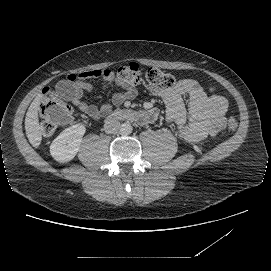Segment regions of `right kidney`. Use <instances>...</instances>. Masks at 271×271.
I'll return each mask as SVG.
<instances>
[{
	"instance_id": "1",
	"label": "right kidney",
	"mask_w": 271,
	"mask_h": 271,
	"mask_svg": "<svg viewBox=\"0 0 271 271\" xmlns=\"http://www.w3.org/2000/svg\"><path fill=\"white\" fill-rule=\"evenodd\" d=\"M84 133L85 127L81 124H74L66 128L52 142L50 146L52 156L60 162L72 159L79 149Z\"/></svg>"
}]
</instances>
